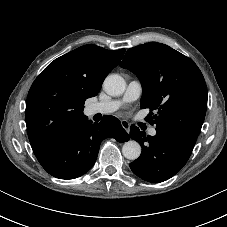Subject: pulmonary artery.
Wrapping results in <instances>:
<instances>
[{
    "label": "pulmonary artery",
    "mask_w": 227,
    "mask_h": 227,
    "mask_svg": "<svg viewBox=\"0 0 227 227\" xmlns=\"http://www.w3.org/2000/svg\"><path fill=\"white\" fill-rule=\"evenodd\" d=\"M142 94V84L138 80H132L128 83L123 96L119 99L100 101L91 106L93 114H110L117 111L123 105L136 101ZM156 129L151 128L149 134L156 135Z\"/></svg>",
    "instance_id": "obj_1"
}]
</instances>
